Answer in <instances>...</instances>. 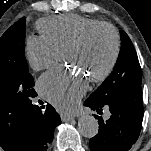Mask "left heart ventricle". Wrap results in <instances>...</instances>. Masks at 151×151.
<instances>
[{
  "label": "left heart ventricle",
  "instance_id": "obj_1",
  "mask_svg": "<svg viewBox=\"0 0 151 151\" xmlns=\"http://www.w3.org/2000/svg\"><path fill=\"white\" fill-rule=\"evenodd\" d=\"M112 52L111 35L103 30L94 34L83 49L71 54L69 61L87 77H91L100 73L108 65Z\"/></svg>",
  "mask_w": 151,
  "mask_h": 151
}]
</instances>
